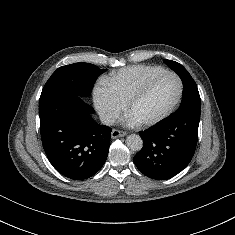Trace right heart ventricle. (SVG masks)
<instances>
[{
    "label": "right heart ventricle",
    "mask_w": 235,
    "mask_h": 235,
    "mask_svg": "<svg viewBox=\"0 0 235 235\" xmlns=\"http://www.w3.org/2000/svg\"><path fill=\"white\" fill-rule=\"evenodd\" d=\"M165 71L156 65H132L121 68L104 79V84L125 105L129 98L152 75Z\"/></svg>",
    "instance_id": "obj_1"
}]
</instances>
